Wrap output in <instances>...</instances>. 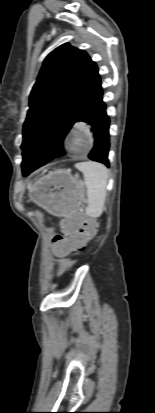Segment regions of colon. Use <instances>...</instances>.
<instances>
[{
	"label": "colon",
	"mask_w": 155,
	"mask_h": 413,
	"mask_svg": "<svg viewBox=\"0 0 155 413\" xmlns=\"http://www.w3.org/2000/svg\"><path fill=\"white\" fill-rule=\"evenodd\" d=\"M62 226L69 235L58 234L53 238V246L60 258H70L72 252H81L97 231V223L94 218L79 214L66 216L62 220Z\"/></svg>",
	"instance_id": "obj_1"
}]
</instances>
